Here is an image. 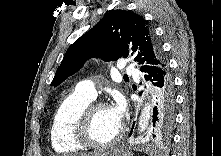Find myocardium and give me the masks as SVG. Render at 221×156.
<instances>
[{
    "mask_svg": "<svg viewBox=\"0 0 221 156\" xmlns=\"http://www.w3.org/2000/svg\"><path fill=\"white\" fill-rule=\"evenodd\" d=\"M108 107L104 102L91 101L80 112L74 125V138L77 143L82 147L104 149L115 145L123 136L124 128L120 125V128L116 135L107 142L99 143L94 141L90 136V125L93 115L99 108Z\"/></svg>",
    "mask_w": 221,
    "mask_h": 156,
    "instance_id": "obj_1",
    "label": "myocardium"
}]
</instances>
